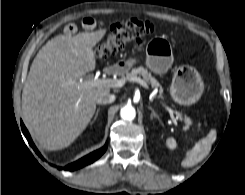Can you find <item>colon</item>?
<instances>
[{"mask_svg":"<svg viewBox=\"0 0 245 195\" xmlns=\"http://www.w3.org/2000/svg\"><path fill=\"white\" fill-rule=\"evenodd\" d=\"M151 23L141 19H131L114 25L106 39L96 51L99 58H107L119 52L127 43H141L143 38L153 32Z\"/></svg>","mask_w":245,"mask_h":195,"instance_id":"1","label":"colon"}]
</instances>
